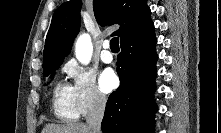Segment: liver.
<instances>
[{
  "label": "liver",
  "instance_id": "1",
  "mask_svg": "<svg viewBox=\"0 0 221 133\" xmlns=\"http://www.w3.org/2000/svg\"><path fill=\"white\" fill-rule=\"evenodd\" d=\"M42 133H90V130L84 123L48 124Z\"/></svg>",
  "mask_w": 221,
  "mask_h": 133
}]
</instances>
